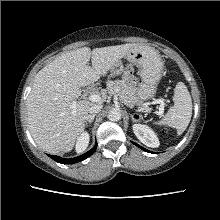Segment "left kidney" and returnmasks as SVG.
<instances>
[{"mask_svg": "<svg viewBox=\"0 0 220 220\" xmlns=\"http://www.w3.org/2000/svg\"><path fill=\"white\" fill-rule=\"evenodd\" d=\"M132 127L134 134L144 145L151 148L159 146V140L151 128L143 124H134Z\"/></svg>", "mask_w": 220, "mask_h": 220, "instance_id": "obj_1", "label": "left kidney"}]
</instances>
